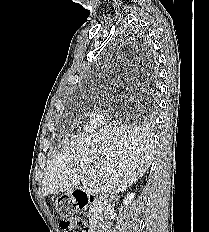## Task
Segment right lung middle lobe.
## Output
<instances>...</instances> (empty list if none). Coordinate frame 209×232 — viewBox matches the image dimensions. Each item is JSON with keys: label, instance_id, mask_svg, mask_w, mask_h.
I'll return each mask as SVG.
<instances>
[{"label": "right lung middle lobe", "instance_id": "obj_1", "mask_svg": "<svg viewBox=\"0 0 209 232\" xmlns=\"http://www.w3.org/2000/svg\"><path fill=\"white\" fill-rule=\"evenodd\" d=\"M152 77V81H153V77H154V73H151ZM156 88L154 86H152V91L151 94L148 96L147 98V103H146V123L148 124L149 127H151L153 125V120H154V108L156 105Z\"/></svg>", "mask_w": 209, "mask_h": 232}]
</instances>
